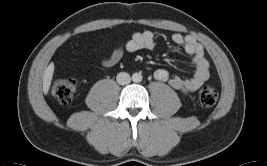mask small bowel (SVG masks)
<instances>
[{"label": "small bowel", "instance_id": "1", "mask_svg": "<svg viewBox=\"0 0 267 166\" xmlns=\"http://www.w3.org/2000/svg\"><path fill=\"white\" fill-rule=\"evenodd\" d=\"M172 41L176 45L182 46L185 52L192 57L195 72L193 76L183 78L178 75L171 76L168 70L160 68L154 72V77L159 81L168 82L173 88L194 92L208 80L210 75V66L204 55L203 48L190 35L184 36L180 33H175L172 36ZM155 48L156 42L152 32H136L124 46L116 47L109 56L101 59L100 64L102 67H112L122 59L125 51L132 53L139 50L152 51Z\"/></svg>", "mask_w": 267, "mask_h": 166}]
</instances>
